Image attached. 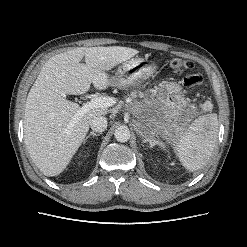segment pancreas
<instances>
[{
  "mask_svg": "<svg viewBox=\"0 0 247 247\" xmlns=\"http://www.w3.org/2000/svg\"><path fill=\"white\" fill-rule=\"evenodd\" d=\"M144 94L141 93V92H137V91H132L131 94H130V97H129V104L132 105L133 107V111H138L139 110V107H140V102H138L136 100L137 97H143Z\"/></svg>",
  "mask_w": 247,
  "mask_h": 247,
  "instance_id": "1",
  "label": "pancreas"
}]
</instances>
